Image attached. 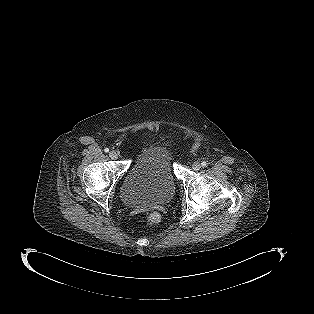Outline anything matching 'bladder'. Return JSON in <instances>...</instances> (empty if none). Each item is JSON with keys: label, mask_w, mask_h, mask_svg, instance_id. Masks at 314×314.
<instances>
[{"label": "bladder", "mask_w": 314, "mask_h": 314, "mask_svg": "<svg viewBox=\"0 0 314 314\" xmlns=\"http://www.w3.org/2000/svg\"><path fill=\"white\" fill-rule=\"evenodd\" d=\"M175 193L171 152L154 145L143 151L123 180L121 199L130 208H155L168 203Z\"/></svg>", "instance_id": "31cf9c89"}]
</instances>
